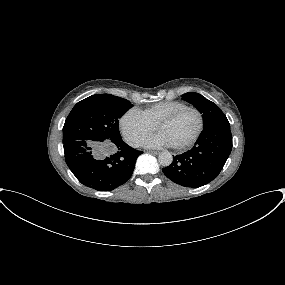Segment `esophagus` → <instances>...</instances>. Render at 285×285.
I'll return each instance as SVG.
<instances>
[{
	"instance_id": "34e87169",
	"label": "esophagus",
	"mask_w": 285,
	"mask_h": 285,
	"mask_svg": "<svg viewBox=\"0 0 285 285\" xmlns=\"http://www.w3.org/2000/svg\"><path fill=\"white\" fill-rule=\"evenodd\" d=\"M147 152H148V153H151V154H156V155L159 154L158 151H154V150H147Z\"/></svg>"
}]
</instances>
